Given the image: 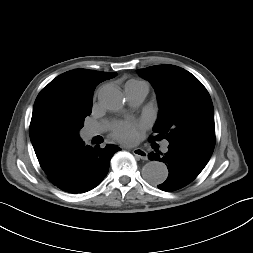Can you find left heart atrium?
<instances>
[{"mask_svg":"<svg viewBox=\"0 0 253 253\" xmlns=\"http://www.w3.org/2000/svg\"><path fill=\"white\" fill-rule=\"evenodd\" d=\"M143 126L142 122L137 121L120 122L113 127L112 136L120 142L131 143L136 140Z\"/></svg>","mask_w":253,"mask_h":253,"instance_id":"left-heart-atrium-1","label":"left heart atrium"}]
</instances>
